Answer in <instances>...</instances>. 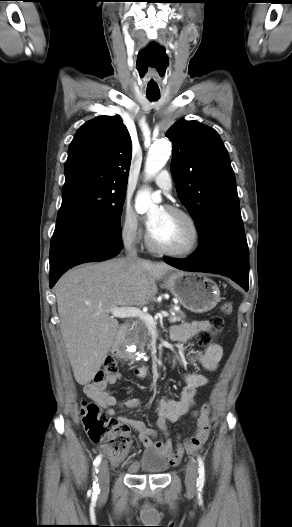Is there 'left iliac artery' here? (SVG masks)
<instances>
[{
	"mask_svg": "<svg viewBox=\"0 0 292 527\" xmlns=\"http://www.w3.org/2000/svg\"><path fill=\"white\" fill-rule=\"evenodd\" d=\"M198 473H199V477L197 478V487H198V490H201L203 488V485H204V480H205V469H204V463H203V460L201 459V457L198 456Z\"/></svg>",
	"mask_w": 292,
	"mask_h": 527,
	"instance_id": "1",
	"label": "left iliac artery"
}]
</instances>
